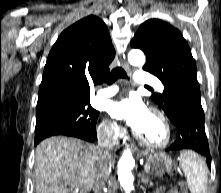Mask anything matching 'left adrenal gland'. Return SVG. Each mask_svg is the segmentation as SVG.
<instances>
[{
  "label": "left adrenal gland",
  "mask_w": 221,
  "mask_h": 193,
  "mask_svg": "<svg viewBox=\"0 0 221 193\" xmlns=\"http://www.w3.org/2000/svg\"><path fill=\"white\" fill-rule=\"evenodd\" d=\"M145 170L142 172L141 174V181L144 183V184H148L149 183V180H150V177L148 176V174H145Z\"/></svg>",
  "instance_id": "left-adrenal-gland-1"
}]
</instances>
